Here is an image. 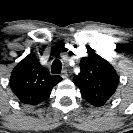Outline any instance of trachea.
<instances>
[{
  "mask_svg": "<svg viewBox=\"0 0 133 133\" xmlns=\"http://www.w3.org/2000/svg\"><path fill=\"white\" fill-rule=\"evenodd\" d=\"M62 70V63L60 60L56 59L53 61L51 66V73L52 74H60Z\"/></svg>",
  "mask_w": 133,
  "mask_h": 133,
  "instance_id": "3493384b",
  "label": "trachea"
}]
</instances>
